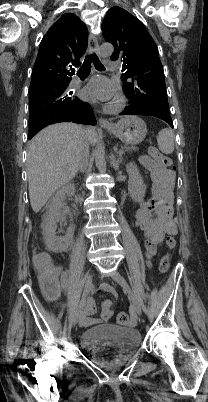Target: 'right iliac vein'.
<instances>
[{
  "instance_id": "63e3f726",
  "label": "right iliac vein",
  "mask_w": 208,
  "mask_h": 402,
  "mask_svg": "<svg viewBox=\"0 0 208 402\" xmlns=\"http://www.w3.org/2000/svg\"><path fill=\"white\" fill-rule=\"evenodd\" d=\"M92 285H93V277H92V274H89L87 276V279H86V282H85V287H84V290L87 292V294L91 290ZM84 301H85V299L80 303L78 309L76 310V313H75V316H74V321H73L74 326L79 321L80 315H81L82 310L84 308Z\"/></svg>"
}]
</instances>
